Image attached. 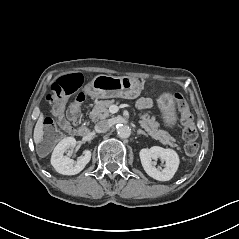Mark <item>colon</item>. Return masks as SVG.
<instances>
[{
  "label": "colon",
  "mask_w": 239,
  "mask_h": 239,
  "mask_svg": "<svg viewBox=\"0 0 239 239\" xmlns=\"http://www.w3.org/2000/svg\"><path fill=\"white\" fill-rule=\"evenodd\" d=\"M82 84L80 74H68L59 78L52 86V92L48 96L49 101L54 105V115L56 121L47 119L45 122V136L49 140H57L61 136L60 129L69 131L78 118L81 107L85 100V95L79 93L76 95L70 106L65 110L64 103L67 99L73 97ZM174 102L181 114V124L183 126V135L186 141L185 152L188 155H194L198 150L197 130L194 125L193 115L184 97L174 94Z\"/></svg>",
  "instance_id": "1"
}]
</instances>
